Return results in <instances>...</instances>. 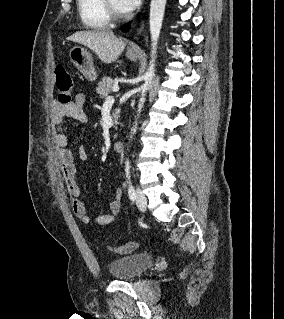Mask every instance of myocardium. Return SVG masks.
<instances>
[{"mask_svg": "<svg viewBox=\"0 0 284 319\" xmlns=\"http://www.w3.org/2000/svg\"><path fill=\"white\" fill-rule=\"evenodd\" d=\"M104 6L111 20L121 21L127 18L126 13H120L114 8V6L111 3V0H104Z\"/></svg>", "mask_w": 284, "mask_h": 319, "instance_id": "obj_1", "label": "myocardium"}]
</instances>
